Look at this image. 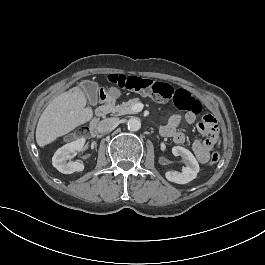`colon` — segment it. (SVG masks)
Masks as SVG:
<instances>
[{
	"mask_svg": "<svg viewBox=\"0 0 265 265\" xmlns=\"http://www.w3.org/2000/svg\"><path fill=\"white\" fill-rule=\"evenodd\" d=\"M110 84L119 88L127 89L136 94L155 98L160 102H172L181 112L199 115L202 111L201 101L192 96L183 88H174L171 84L163 81H156L137 75L111 74L108 77ZM220 154H211V163H217Z\"/></svg>",
	"mask_w": 265,
	"mask_h": 265,
	"instance_id": "obj_1",
	"label": "colon"
}]
</instances>
